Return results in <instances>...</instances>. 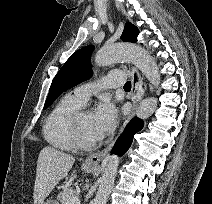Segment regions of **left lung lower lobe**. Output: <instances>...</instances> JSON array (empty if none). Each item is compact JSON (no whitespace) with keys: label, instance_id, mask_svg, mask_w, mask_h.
Returning <instances> with one entry per match:
<instances>
[{"label":"left lung lower lobe","instance_id":"left-lung-lower-lobe-1","mask_svg":"<svg viewBox=\"0 0 212 204\" xmlns=\"http://www.w3.org/2000/svg\"><path fill=\"white\" fill-rule=\"evenodd\" d=\"M143 128V121L137 117L133 118L116 141L112 153L122 155L132 144L134 135Z\"/></svg>","mask_w":212,"mask_h":204}]
</instances>
